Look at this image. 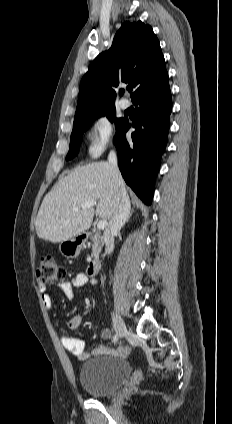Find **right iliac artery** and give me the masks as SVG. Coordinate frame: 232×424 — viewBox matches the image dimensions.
Masks as SVG:
<instances>
[{"instance_id": "82829eb1", "label": "right iliac artery", "mask_w": 232, "mask_h": 424, "mask_svg": "<svg viewBox=\"0 0 232 424\" xmlns=\"http://www.w3.org/2000/svg\"><path fill=\"white\" fill-rule=\"evenodd\" d=\"M118 340V334L116 333V334H114V336H113V341L114 342H116Z\"/></svg>"}]
</instances>
